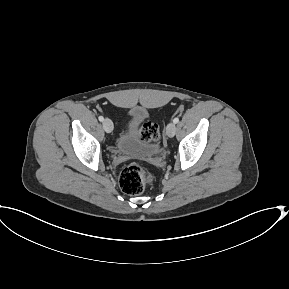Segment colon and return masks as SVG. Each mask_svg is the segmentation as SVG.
Listing matches in <instances>:
<instances>
[{
    "label": "colon",
    "instance_id": "obj_1",
    "mask_svg": "<svg viewBox=\"0 0 289 289\" xmlns=\"http://www.w3.org/2000/svg\"><path fill=\"white\" fill-rule=\"evenodd\" d=\"M141 138L147 142H158L160 132L158 125L152 121L145 122L140 130ZM153 178L142 166L131 163L120 174L119 185L128 195H138L151 185Z\"/></svg>",
    "mask_w": 289,
    "mask_h": 289
}]
</instances>
